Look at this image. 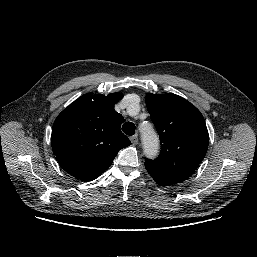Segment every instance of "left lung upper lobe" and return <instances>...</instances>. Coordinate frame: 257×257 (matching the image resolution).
Masks as SVG:
<instances>
[{"label":"left lung upper lobe","instance_id":"1","mask_svg":"<svg viewBox=\"0 0 257 257\" xmlns=\"http://www.w3.org/2000/svg\"><path fill=\"white\" fill-rule=\"evenodd\" d=\"M146 105L162 145L159 157L145 159L144 164L187 179L208 148L209 135L202 114L189 101L172 93H148Z\"/></svg>","mask_w":257,"mask_h":257}]
</instances>
